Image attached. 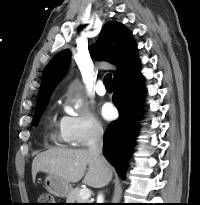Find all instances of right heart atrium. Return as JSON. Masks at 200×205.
Instances as JSON below:
<instances>
[{
  "instance_id": "right-heart-atrium-1",
  "label": "right heart atrium",
  "mask_w": 200,
  "mask_h": 205,
  "mask_svg": "<svg viewBox=\"0 0 200 205\" xmlns=\"http://www.w3.org/2000/svg\"><path fill=\"white\" fill-rule=\"evenodd\" d=\"M104 133L101 122L90 112L73 111L60 120V136L73 146H85Z\"/></svg>"
}]
</instances>
